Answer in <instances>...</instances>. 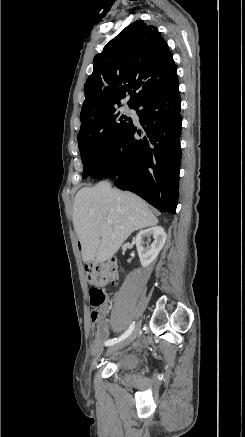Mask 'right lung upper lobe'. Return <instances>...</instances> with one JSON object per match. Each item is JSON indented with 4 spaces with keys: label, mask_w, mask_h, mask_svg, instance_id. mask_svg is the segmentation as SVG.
I'll use <instances>...</instances> for the list:
<instances>
[{
    "label": "right lung upper lobe",
    "mask_w": 245,
    "mask_h": 437,
    "mask_svg": "<svg viewBox=\"0 0 245 437\" xmlns=\"http://www.w3.org/2000/svg\"><path fill=\"white\" fill-rule=\"evenodd\" d=\"M84 85L80 119L87 123L130 94L129 105L179 85L177 68L158 29L137 20L123 29L93 59Z\"/></svg>",
    "instance_id": "1"
}]
</instances>
